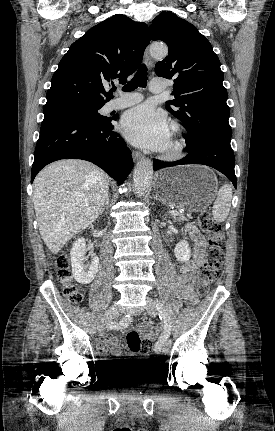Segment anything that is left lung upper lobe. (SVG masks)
Wrapping results in <instances>:
<instances>
[{
  "label": "left lung upper lobe",
  "mask_w": 275,
  "mask_h": 431,
  "mask_svg": "<svg viewBox=\"0 0 275 431\" xmlns=\"http://www.w3.org/2000/svg\"><path fill=\"white\" fill-rule=\"evenodd\" d=\"M152 40L169 47L168 56L156 64L160 77L174 79V100L166 109L184 124L186 141L197 138H229V107L220 61L210 42L186 20L162 12L150 26Z\"/></svg>",
  "instance_id": "1"
}]
</instances>
